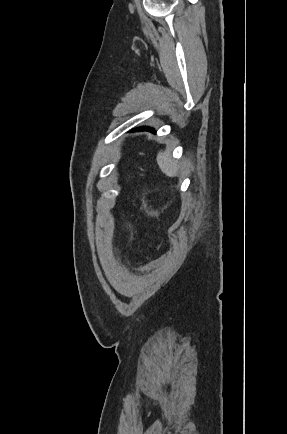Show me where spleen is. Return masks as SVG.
<instances>
[{
    "label": "spleen",
    "instance_id": "1",
    "mask_svg": "<svg viewBox=\"0 0 287 434\" xmlns=\"http://www.w3.org/2000/svg\"><path fill=\"white\" fill-rule=\"evenodd\" d=\"M157 163L161 171L168 177H176L179 173V165L171 158L170 152L159 151L157 154Z\"/></svg>",
    "mask_w": 287,
    "mask_h": 434
}]
</instances>
